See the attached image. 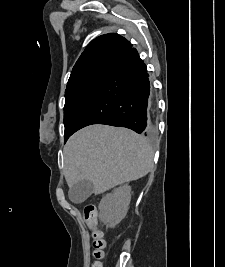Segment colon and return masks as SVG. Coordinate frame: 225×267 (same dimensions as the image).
<instances>
[{"label":"colon","instance_id":"5ec220e1","mask_svg":"<svg viewBox=\"0 0 225 267\" xmlns=\"http://www.w3.org/2000/svg\"><path fill=\"white\" fill-rule=\"evenodd\" d=\"M83 219L91 230V249L93 262L91 267H102L101 260L104 257L105 240L103 232L97 226V209L88 204L83 209Z\"/></svg>","mask_w":225,"mask_h":267}]
</instances>
